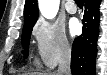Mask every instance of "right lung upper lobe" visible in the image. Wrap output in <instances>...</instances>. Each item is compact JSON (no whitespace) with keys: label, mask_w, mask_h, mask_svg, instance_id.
I'll list each match as a JSON object with an SVG mask.
<instances>
[{"label":"right lung upper lobe","mask_w":107,"mask_h":75,"mask_svg":"<svg viewBox=\"0 0 107 75\" xmlns=\"http://www.w3.org/2000/svg\"><path fill=\"white\" fill-rule=\"evenodd\" d=\"M24 24L35 23L38 18V5L37 0H26L24 6Z\"/></svg>","instance_id":"right-lung-upper-lobe-1"}]
</instances>
